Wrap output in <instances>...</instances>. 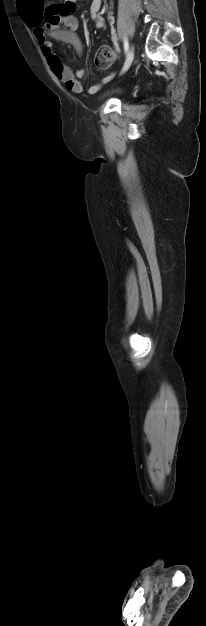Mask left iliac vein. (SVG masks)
<instances>
[{"instance_id":"1","label":"left iliac vein","mask_w":206,"mask_h":626,"mask_svg":"<svg viewBox=\"0 0 206 626\" xmlns=\"http://www.w3.org/2000/svg\"><path fill=\"white\" fill-rule=\"evenodd\" d=\"M133 59H134V47L131 46L129 51H128V53H127L124 66H123V68L121 70V74L125 73L129 69V67L131 66V64L133 62Z\"/></svg>"}]
</instances>
